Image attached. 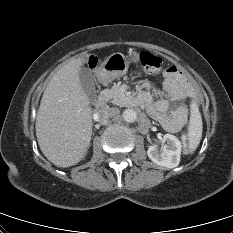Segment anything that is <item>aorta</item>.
<instances>
[{
  "mask_svg": "<svg viewBox=\"0 0 233 233\" xmlns=\"http://www.w3.org/2000/svg\"><path fill=\"white\" fill-rule=\"evenodd\" d=\"M122 117L126 122H134L137 119V113L133 109H126L123 111Z\"/></svg>",
  "mask_w": 233,
  "mask_h": 233,
  "instance_id": "aorta-1",
  "label": "aorta"
}]
</instances>
